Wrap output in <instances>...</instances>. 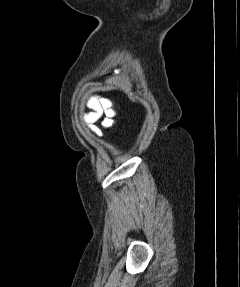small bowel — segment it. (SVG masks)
Segmentation results:
<instances>
[{"label": "small bowel", "mask_w": 240, "mask_h": 287, "mask_svg": "<svg viewBox=\"0 0 240 287\" xmlns=\"http://www.w3.org/2000/svg\"><path fill=\"white\" fill-rule=\"evenodd\" d=\"M86 104L89 107L90 111L84 115V120L86 123L89 124L88 128L94 134H96L97 136H101V131L93 124L101 118L103 114L102 110L95 98L92 97L86 98Z\"/></svg>", "instance_id": "obj_1"}]
</instances>
